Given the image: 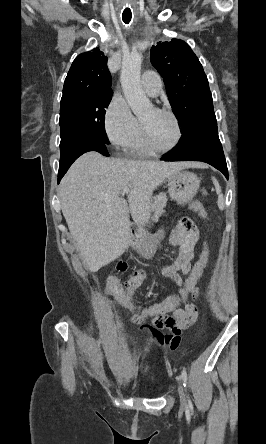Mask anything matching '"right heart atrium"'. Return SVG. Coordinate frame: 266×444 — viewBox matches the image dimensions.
Instances as JSON below:
<instances>
[{"label": "right heart atrium", "instance_id": "d8ad5b80", "mask_svg": "<svg viewBox=\"0 0 266 444\" xmlns=\"http://www.w3.org/2000/svg\"><path fill=\"white\" fill-rule=\"evenodd\" d=\"M104 131L116 148H127L138 128V120L120 94H114L104 114Z\"/></svg>", "mask_w": 266, "mask_h": 444}]
</instances>
